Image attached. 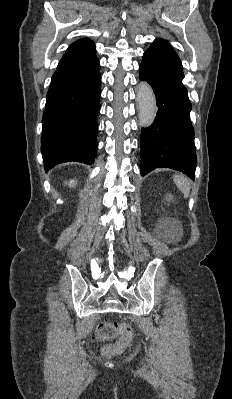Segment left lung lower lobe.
<instances>
[{
    "instance_id": "1",
    "label": "left lung lower lobe",
    "mask_w": 232,
    "mask_h": 399,
    "mask_svg": "<svg viewBox=\"0 0 232 399\" xmlns=\"http://www.w3.org/2000/svg\"><path fill=\"white\" fill-rule=\"evenodd\" d=\"M139 73L140 80L151 85L158 106L154 122L141 130V175L166 167L194 179L197 157L192 105L178 55L167 41L156 39L145 51Z\"/></svg>"
}]
</instances>
